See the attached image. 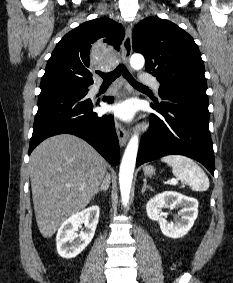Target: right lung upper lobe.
<instances>
[{
  "label": "right lung upper lobe",
  "instance_id": "cb5924a9",
  "mask_svg": "<svg viewBox=\"0 0 233 283\" xmlns=\"http://www.w3.org/2000/svg\"><path fill=\"white\" fill-rule=\"evenodd\" d=\"M125 31L109 18L87 21L56 45L41 82L64 80L82 86L93 83L94 70H105L110 54L120 49Z\"/></svg>",
  "mask_w": 233,
  "mask_h": 283
}]
</instances>
